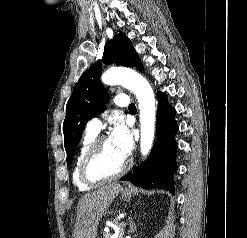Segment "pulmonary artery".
<instances>
[{
    "mask_svg": "<svg viewBox=\"0 0 247 238\" xmlns=\"http://www.w3.org/2000/svg\"><path fill=\"white\" fill-rule=\"evenodd\" d=\"M114 103L119 107L129 106V98L125 94H119L114 98ZM101 121L98 117L91 118L87 123V130L98 133L101 128Z\"/></svg>",
    "mask_w": 247,
    "mask_h": 238,
    "instance_id": "1",
    "label": "pulmonary artery"
}]
</instances>
